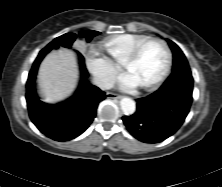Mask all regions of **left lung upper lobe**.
<instances>
[{
  "mask_svg": "<svg viewBox=\"0 0 222 187\" xmlns=\"http://www.w3.org/2000/svg\"><path fill=\"white\" fill-rule=\"evenodd\" d=\"M173 52V68L172 74L178 73L185 69H190L187 59L181 49L171 40H167ZM171 74V75H172Z\"/></svg>",
  "mask_w": 222,
  "mask_h": 187,
  "instance_id": "left-lung-upper-lobe-1",
  "label": "left lung upper lobe"
}]
</instances>
